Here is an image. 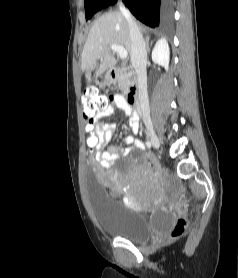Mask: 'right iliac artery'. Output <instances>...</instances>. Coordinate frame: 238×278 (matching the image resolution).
<instances>
[{
	"mask_svg": "<svg viewBox=\"0 0 238 278\" xmlns=\"http://www.w3.org/2000/svg\"><path fill=\"white\" fill-rule=\"evenodd\" d=\"M146 146H147L148 148H151V142H150V141H146Z\"/></svg>",
	"mask_w": 238,
	"mask_h": 278,
	"instance_id": "82829eb1",
	"label": "right iliac artery"
}]
</instances>
